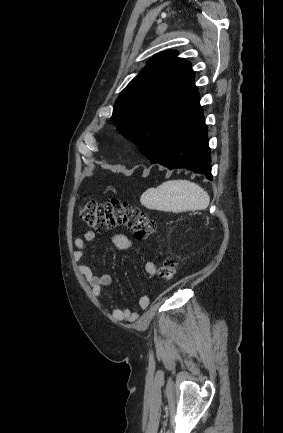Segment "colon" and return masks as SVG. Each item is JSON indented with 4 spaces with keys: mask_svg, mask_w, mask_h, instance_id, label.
Listing matches in <instances>:
<instances>
[{
    "mask_svg": "<svg viewBox=\"0 0 283 433\" xmlns=\"http://www.w3.org/2000/svg\"><path fill=\"white\" fill-rule=\"evenodd\" d=\"M78 214L84 224L100 233L124 225L137 239H146L156 228L154 220L140 208L117 199L103 203L87 199L79 207ZM176 272L177 262L173 258H166L159 266L158 277L170 281Z\"/></svg>",
    "mask_w": 283,
    "mask_h": 433,
    "instance_id": "colon-1",
    "label": "colon"
}]
</instances>
